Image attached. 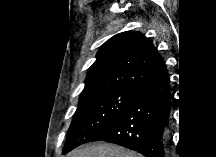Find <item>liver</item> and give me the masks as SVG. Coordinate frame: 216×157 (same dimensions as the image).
<instances>
[{
	"instance_id": "liver-1",
	"label": "liver",
	"mask_w": 216,
	"mask_h": 157,
	"mask_svg": "<svg viewBox=\"0 0 216 157\" xmlns=\"http://www.w3.org/2000/svg\"><path fill=\"white\" fill-rule=\"evenodd\" d=\"M68 157H140V154L117 145L97 143L75 150Z\"/></svg>"
}]
</instances>
